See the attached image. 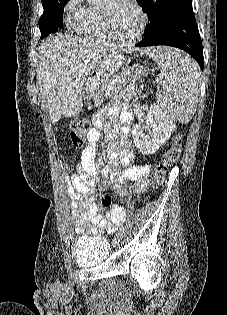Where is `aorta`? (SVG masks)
I'll return each instance as SVG.
<instances>
[{"label": "aorta", "instance_id": "762f6f07", "mask_svg": "<svg viewBox=\"0 0 227 315\" xmlns=\"http://www.w3.org/2000/svg\"><path fill=\"white\" fill-rule=\"evenodd\" d=\"M103 0H87V2L89 3V4H99V3H101Z\"/></svg>", "mask_w": 227, "mask_h": 315}]
</instances>
